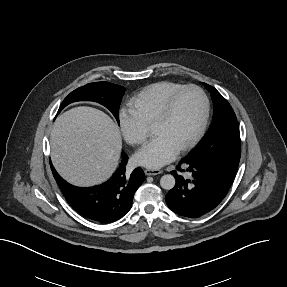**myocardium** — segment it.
Masks as SVG:
<instances>
[{
	"label": "myocardium",
	"instance_id": "obj_1",
	"mask_svg": "<svg viewBox=\"0 0 287 287\" xmlns=\"http://www.w3.org/2000/svg\"><path fill=\"white\" fill-rule=\"evenodd\" d=\"M189 90L196 91L201 97L202 117H201V121L197 129L195 130L193 135L189 138V140L178 150L179 152H185L189 150L192 146H194L195 143L200 139V137L202 136V134L204 133L206 129L208 119H209V99L206 93L204 92V90L197 85H185V86L180 87L179 89H177L176 91H174L168 96L161 111L159 112V114L157 115V117L155 118L152 124V130H153V128L156 125L165 122L171 114L172 107L174 105L175 100L178 98L180 94H182L185 91H189Z\"/></svg>",
	"mask_w": 287,
	"mask_h": 287
}]
</instances>
